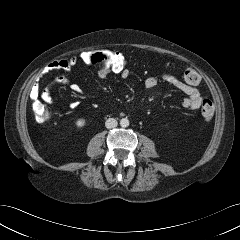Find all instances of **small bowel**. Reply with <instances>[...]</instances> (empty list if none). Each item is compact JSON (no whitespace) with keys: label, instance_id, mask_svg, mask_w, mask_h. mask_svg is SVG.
I'll return each instance as SVG.
<instances>
[{"label":"small bowel","instance_id":"1","mask_svg":"<svg viewBox=\"0 0 240 240\" xmlns=\"http://www.w3.org/2000/svg\"><path fill=\"white\" fill-rule=\"evenodd\" d=\"M79 60L76 56H72L66 59H60L52 62L49 66L51 70L59 71L60 74L56 77V79L43 90L40 91L39 85L35 84L30 92L31 99L35 100L37 98H41L45 103L52 104L54 102L53 99V90L55 87L60 85H67L69 88L75 93H81L82 89L80 85L77 83H71L69 78L70 71L78 64ZM116 73L110 70L109 68L98 67V77L101 79L107 78L110 74ZM122 78H127L129 75L128 70L123 72L117 73ZM162 79L168 83L169 85L173 86L174 88L178 89L182 93L186 95L184 98L182 105L186 109L196 110L204 101L199 89L196 86L188 85L182 80H180L177 76L171 73H163ZM145 87L147 89H153L157 86L158 80L154 76H149L144 81ZM78 106V102L74 101L70 103V107L72 109Z\"/></svg>","mask_w":240,"mask_h":240}]
</instances>
